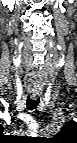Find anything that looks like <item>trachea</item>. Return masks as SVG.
<instances>
[{"label": "trachea", "instance_id": "1", "mask_svg": "<svg viewBox=\"0 0 77 143\" xmlns=\"http://www.w3.org/2000/svg\"><path fill=\"white\" fill-rule=\"evenodd\" d=\"M38 104H39V98L37 99H31L30 97L27 98L26 106L28 110H34Z\"/></svg>", "mask_w": 77, "mask_h": 143}]
</instances>
